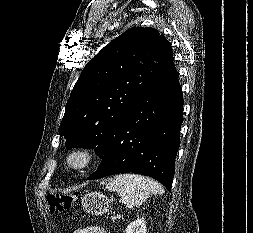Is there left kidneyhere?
<instances>
[{
    "label": "left kidney",
    "mask_w": 253,
    "mask_h": 233,
    "mask_svg": "<svg viewBox=\"0 0 253 233\" xmlns=\"http://www.w3.org/2000/svg\"><path fill=\"white\" fill-rule=\"evenodd\" d=\"M146 221L145 219L142 218H138L137 220H134L133 222H131L126 230L125 233H146Z\"/></svg>",
    "instance_id": "obj_1"
}]
</instances>
